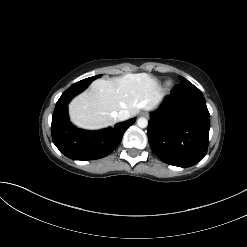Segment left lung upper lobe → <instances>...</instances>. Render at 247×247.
<instances>
[{"label":"left lung upper lobe","instance_id":"1","mask_svg":"<svg viewBox=\"0 0 247 247\" xmlns=\"http://www.w3.org/2000/svg\"><path fill=\"white\" fill-rule=\"evenodd\" d=\"M180 80H181L182 83L189 82L188 80H186L184 77H181V76H180Z\"/></svg>","mask_w":247,"mask_h":247}]
</instances>
